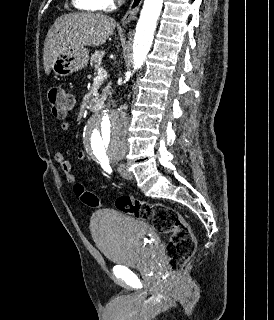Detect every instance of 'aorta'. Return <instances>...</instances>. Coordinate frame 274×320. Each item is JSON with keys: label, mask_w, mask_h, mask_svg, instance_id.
Masks as SVG:
<instances>
[{"label": "aorta", "mask_w": 274, "mask_h": 320, "mask_svg": "<svg viewBox=\"0 0 274 320\" xmlns=\"http://www.w3.org/2000/svg\"><path fill=\"white\" fill-rule=\"evenodd\" d=\"M163 0H144L136 25L133 65L139 69L146 60L154 38ZM128 119L120 109H111L92 119L84 133L86 150L94 159L122 158L128 146Z\"/></svg>", "instance_id": "obj_1"}]
</instances>
